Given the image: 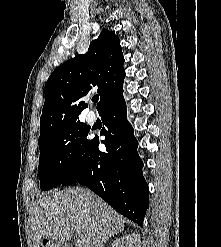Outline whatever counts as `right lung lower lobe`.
<instances>
[{"label":"right lung lower lobe","instance_id":"obj_1","mask_svg":"<svg viewBox=\"0 0 221 247\" xmlns=\"http://www.w3.org/2000/svg\"><path fill=\"white\" fill-rule=\"evenodd\" d=\"M106 152L98 149L99 139L90 140L83 157L60 184L78 182L89 187L117 212L142 227L149 206V188L142 174L143 162L137 153L138 142L126 119L123 96L99 112Z\"/></svg>","mask_w":221,"mask_h":247}]
</instances>
